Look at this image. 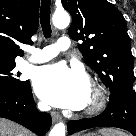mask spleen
<instances>
[{"label":"spleen","mask_w":136,"mask_h":136,"mask_svg":"<svg viewBox=\"0 0 136 136\" xmlns=\"http://www.w3.org/2000/svg\"><path fill=\"white\" fill-rule=\"evenodd\" d=\"M100 132L102 136H126L122 132L113 129H102Z\"/></svg>","instance_id":"spleen-1"}]
</instances>
